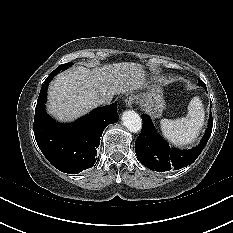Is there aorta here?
I'll return each instance as SVG.
<instances>
[{
	"instance_id": "obj_1",
	"label": "aorta",
	"mask_w": 233,
	"mask_h": 233,
	"mask_svg": "<svg viewBox=\"0 0 233 233\" xmlns=\"http://www.w3.org/2000/svg\"><path fill=\"white\" fill-rule=\"evenodd\" d=\"M123 125L132 133H137L142 128L141 117L135 111H125L122 115Z\"/></svg>"
}]
</instances>
